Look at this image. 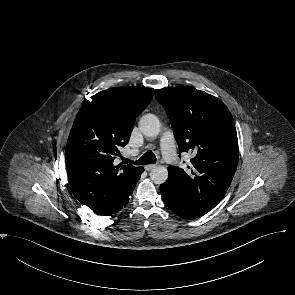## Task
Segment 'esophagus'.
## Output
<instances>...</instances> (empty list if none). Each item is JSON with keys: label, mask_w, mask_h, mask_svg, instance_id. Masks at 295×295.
I'll use <instances>...</instances> for the list:
<instances>
[{"label": "esophagus", "mask_w": 295, "mask_h": 295, "mask_svg": "<svg viewBox=\"0 0 295 295\" xmlns=\"http://www.w3.org/2000/svg\"><path fill=\"white\" fill-rule=\"evenodd\" d=\"M156 167L155 164H149V165H146L144 168L146 171H151L152 169H154Z\"/></svg>", "instance_id": "34e87169"}]
</instances>
